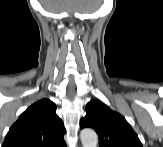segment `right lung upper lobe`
<instances>
[{
  "label": "right lung upper lobe",
  "mask_w": 163,
  "mask_h": 147,
  "mask_svg": "<svg viewBox=\"0 0 163 147\" xmlns=\"http://www.w3.org/2000/svg\"><path fill=\"white\" fill-rule=\"evenodd\" d=\"M56 105L42 99L24 111L12 125L2 147H64L66 130Z\"/></svg>",
  "instance_id": "1"
}]
</instances>
